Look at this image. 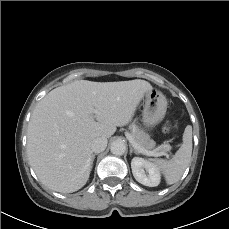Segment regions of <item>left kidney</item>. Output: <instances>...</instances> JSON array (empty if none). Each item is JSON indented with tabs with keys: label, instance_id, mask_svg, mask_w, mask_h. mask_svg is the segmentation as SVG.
I'll use <instances>...</instances> for the list:
<instances>
[{
	"label": "left kidney",
	"instance_id": "obj_1",
	"mask_svg": "<svg viewBox=\"0 0 229 229\" xmlns=\"http://www.w3.org/2000/svg\"><path fill=\"white\" fill-rule=\"evenodd\" d=\"M132 173L136 181L139 183L155 187L158 186L161 180L159 170L149 161L134 157L131 161Z\"/></svg>",
	"mask_w": 229,
	"mask_h": 229
}]
</instances>
